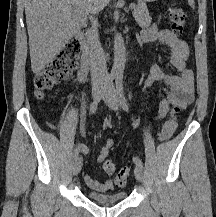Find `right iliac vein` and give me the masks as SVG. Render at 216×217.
<instances>
[{"instance_id":"right-iliac-vein-1","label":"right iliac vein","mask_w":216,"mask_h":217,"mask_svg":"<svg viewBox=\"0 0 216 217\" xmlns=\"http://www.w3.org/2000/svg\"><path fill=\"white\" fill-rule=\"evenodd\" d=\"M103 94H104V88L103 87H96L92 91V96H93L94 100H100V98L103 96ZM82 165H83L82 158L77 156L74 159L73 164H72V172L74 175H77L80 172Z\"/></svg>"}]
</instances>
